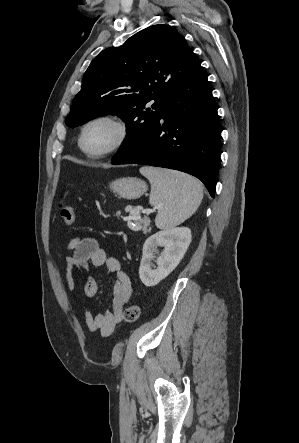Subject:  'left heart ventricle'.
Returning a JSON list of instances; mask_svg holds the SVG:
<instances>
[{"instance_id":"b2bd125f","label":"left heart ventricle","mask_w":299,"mask_h":443,"mask_svg":"<svg viewBox=\"0 0 299 443\" xmlns=\"http://www.w3.org/2000/svg\"><path fill=\"white\" fill-rule=\"evenodd\" d=\"M116 138L117 130L112 124L99 122L86 131L84 145L91 152H101L108 148Z\"/></svg>"}]
</instances>
